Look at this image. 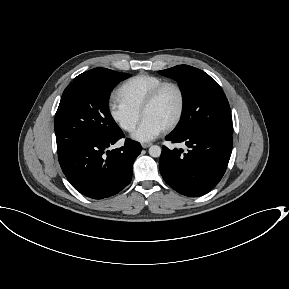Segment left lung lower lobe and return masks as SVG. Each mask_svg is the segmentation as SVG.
<instances>
[{"label": "left lung lower lobe", "instance_id": "1", "mask_svg": "<svg viewBox=\"0 0 289 289\" xmlns=\"http://www.w3.org/2000/svg\"><path fill=\"white\" fill-rule=\"evenodd\" d=\"M166 140L185 142L183 150L162 147L159 162L165 182L182 195L198 197L212 190L223 177L233 145L232 134L194 130L172 132Z\"/></svg>", "mask_w": 289, "mask_h": 289}]
</instances>
